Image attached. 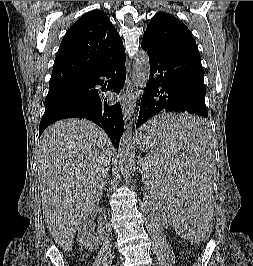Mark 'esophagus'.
Masks as SVG:
<instances>
[{"label": "esophagus", "instance_id": "esophagus-1", "mask_svg": "<svg viewBox=\"0 0 253 266\" xmlns=\"http://www.w3.org/2000/svg\"><path fill=\"white\" fill-rule=\"evenodd\" d=\"M132 93H133V84L129 77L126 78L123 95H122V113L125 121L129 120L133 113V101H132Z\"/></svg>", "mask_w": 253, "mask_h": 266}]
</instances>
